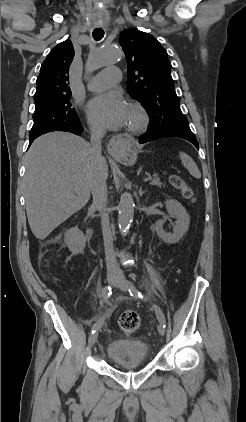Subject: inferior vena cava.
Here are the masks:
<instances>
[{
    "mask_svg": "<svg viewBox=\"0 0 246 422\" xmlns=\"http://www.w3.org/2000/svg\"><path fill=\"white\" fill-rule=\"evenodd\" d=\"M105 134L104 129L91 128V148L90 153L94 159V168L91 177V192L93 203L98 208L101 216L102 234L105 249V259L107 270L113 273H120V269L116 263L113 237L109 223V213L106 208L107 204V175L103 170V157L101 155V140Z\"/></svg>",
    "mask_w": 246,
    "mask_h": 422,
    "instance_id": "602c4592",
    "label": "inferior vena cava"
}]
</instances>
